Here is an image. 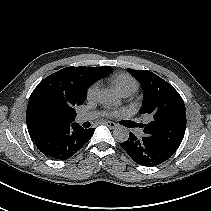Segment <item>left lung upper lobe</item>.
I'll return each mask as SVG.
<instances>
[{"mask_svg":"<svg viewBox=\"0 0 211 211\" xmlns=\"http://www.w3.org/2000/svg\"><path fill=\"white\" fill-rule=\"evenodd\" d=\"M142 85L143 105L140 114L153 119L144 127L145 137L173 154L186 130V109L180 94L165 80L147 70L127 69Z\"/></svg>","mask_w":211,"mask_h":211,"instance_id":"5c2ea615","label":"left lung upper lobe"}]
</instances>
